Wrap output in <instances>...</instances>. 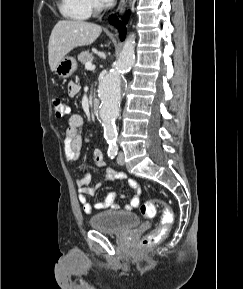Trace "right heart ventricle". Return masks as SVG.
<instances>
[{"label":"right heart ventricle","instance_id":"obj_1","mask_svg":"<svg viewBox=\"0 0 243 289\" xmlns=\"http://www.w3.org/2000/svg\"><path fill=\"white\" fill-rule=\"evenodd\" d=\"M60 13L67 19L83 21L91 16L88 0H59Z\"/></svg>","mask_w":243,"mask_h":289}]
</instances>
